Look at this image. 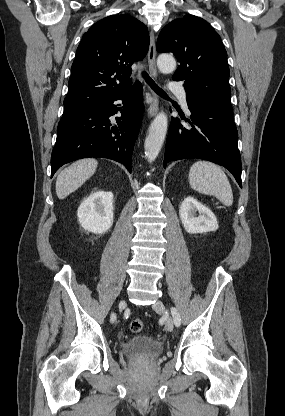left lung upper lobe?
<instances>
[{"mask_svg": "<svg viewBox=\"0 0 285 416\" xmlns=\"http://www.w3.org/2000/svg\"><path fill=\"white\" fill-rule=\"evenodd\" d=\"M156 49L179 61L173 80L184 81L187 102L232 108L227 52L207 21L194 15L173 20L161 30Z\"/></svg>", "mask_w": 285, "mask_h": 416, "instance_id": "1", "label": "left lung upper lobe"}]
</instances>
